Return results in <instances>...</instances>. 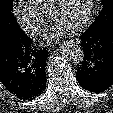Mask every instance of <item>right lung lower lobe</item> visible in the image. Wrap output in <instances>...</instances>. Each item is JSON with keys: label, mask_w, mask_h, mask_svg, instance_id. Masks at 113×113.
<instances>
[{"label": "right lung lower lobe", "mask_w": 113, "mask_h": 113, "mask_svg": "<svg viewBox=\"0 0 113 113\" xmlns=\"http://www.w3.org/2000/svg\"><path fill=\"white\" fill-rule=\"evenodd\" d=\"M46 49L37 50L22 29L0 39V81L22 100L40 96L46 87Z\"/></svg>", "instance_id": "98d812e1"}]
</instances>
